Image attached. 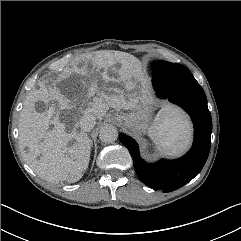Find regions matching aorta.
Returning <instances> with one entry per match:
<instances>
[{
	"mask_svg": "<svg viewBox=\"0 0 241 241\" xmlns=\"http://www.w3.org/2000/svg\"><path fill=\"white\" fill-rule=\"evenodd\" d=\"M118 137L117 128L113 125L107 124L101 127L99 131V138L104 143H113Z\"/></svg>",
	"mask_w": 241,
	"mask_h": 241,
	"instance_id": "1",
	"label": "aorta"
}]
</instances>
